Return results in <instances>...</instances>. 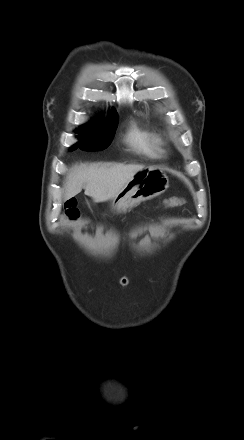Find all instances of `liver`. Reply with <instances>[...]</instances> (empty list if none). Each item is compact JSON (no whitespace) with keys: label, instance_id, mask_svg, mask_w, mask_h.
Returning a JSON list of instances; mask_svg holds the SVG:
<instances>
[{"label":"liver","instance_id":"1","mask_svg":"<svg viewBox=\"0 0 244 440\" xmlns=\"http://www.w3.org/2000/svg\"><path fill=\"white\" fill-rule=\"evenodd\" d=\"M143 168L138 164L76 165L65 182L66 199L76 196L85 189V195L95 202L115 197L134 175Z\"/></svg>","mask_w":244,"mask_h":440}]
</instances>
